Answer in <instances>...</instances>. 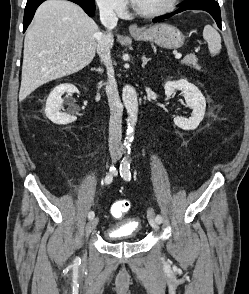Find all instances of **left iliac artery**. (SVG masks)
Masks as SVG:
<instances>
[{"mask_svg":"<svg viewBox=\"0 0 249 294\" xmlns=\"http://www.w3.org/2000/svg\"><path fill=\"white\" fill-rule=\"evenodd\" d=\"M131 153V148L130 146H127V154L128 158L123 159L122 164L120 165V175L127 181H130L131 179V173H130V160H129V155ZM157 223L162 222V217L161 215H156L155 218Z\"/></svg>","mask_w":249,"mask_h":294,"instance_id":"obj_1","label":"left iliac artery"}]
</instances>
